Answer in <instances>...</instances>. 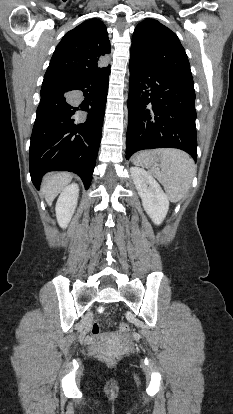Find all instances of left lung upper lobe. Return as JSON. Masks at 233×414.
<instances>
[{"mask_svg": "<svg viewBox=\"0 0 233 414\" xmlns=\"http://www.w3.org/2000/svg\"><path fill=\"white\" fill-rule=\"evenodd\" d=\"M130 59L160 74L192 78L177 35L154 19H146L135 28Z\"/></svg>", "mask_w": 233, "mask_h": 414, "instance_id": "left-lung-upper-lobe-1", "label": "left lung upper lobe"}]
</instances>
